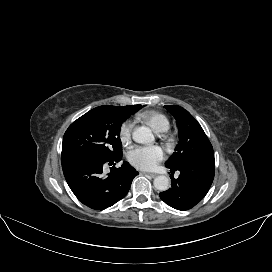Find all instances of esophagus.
<instances>
[{
    "label": "esophagus",
    "mask_w": 272,
    "mask_h": 272,
    "mask_svg": "<svg viewBox=\"0 0 272 272\" xmlns=\"http://www.w3.org/2000/svg\"><path fill=\"white\" fill-rule=\"evenodd\" d=\"M144 175H146V176H150V177H152V178H154V177H156L157 175L155 174V173H143Z\"/></svg>",
    "instance_id": "1"
}]
</instances>
